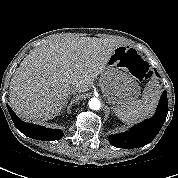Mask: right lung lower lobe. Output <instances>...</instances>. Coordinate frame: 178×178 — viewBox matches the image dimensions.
<instances>
[{"label": "right lung lower lobe", "instance_id": "obj_1", "mask_svg": "<svg viewBox=\"0 0 178 178\" xmlns=\"http://www.w3.org/2000/svg\"><path fill=\"white\" fill-rule=\"evenodd\" d=\"M7 109L15 127L30 138L44 141H53L58 140L63 136L62 130L59 129H49L35 124H26L18 118V116L8 105Z\"/></svg>", "mask_w": 178, "mask_h": 178}]
</instances>
